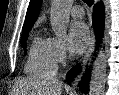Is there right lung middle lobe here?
Wrapping results in <instances>:
<instances>
[{
  "label": "right lung middle lobe",
  "instance_id": "obj_1",
  "mask_svg": "<svg viewBox=\"0 0 119 95\" xmlns=\"http://www.w3.org/2000/svg\"><path fill=\"white\" fill-rule=\"evenodd\" d=\"M28 32L29 31L23 32L22 37H21V45L24 49H26V39H27V36H28Z\"/></svg>",
  "mask_w": 119,
  "mask_h": 95
}]
</instances>
